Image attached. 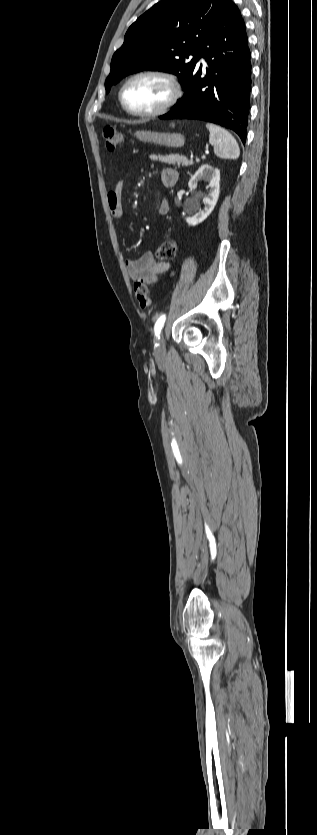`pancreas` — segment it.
<instances>
[{"mask_svg": "<svg viewBox=\"0 0 317 835\" xmlns=\"http://www.w3.org/2000/svg\"><path fill=\"white\" fill-rule=\"evenodd\" d=\"M150 158L154 161H160V162H164V163H168V164H172V165L177 164L178 166L180 164H182V166L193 165V160L192 159L188 160L186 158V156L181 155V154H169V155H155V154H153V155L150 156Z\"/></svg>", "mask_w": 317, "mask_h": 835, "instance_id": "pancreas-1", "label": "pancreas"}]
</instances>
